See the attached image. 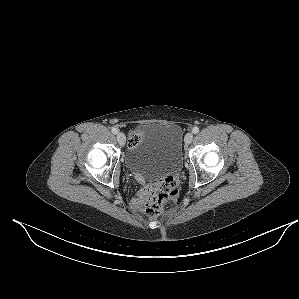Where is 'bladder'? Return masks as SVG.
Segmentation results:
<instances>
[{
  "label": "bladder",
  "instance_id": "1",
  "mask_svg": "<svg viewBox=\"0 0 299 299\" xmlns=\"http://www.w3.org/2000/svg\"><path fill=\"white\" fill-rule=\"evenodd\" d=\"M138 141L128 150L125 163L146 178H161L182 167V138L176 124L145 123L139 126Z\"/></svg>",
  "mask_w": 299,
  "mask_h": 299
}]
</instances>
